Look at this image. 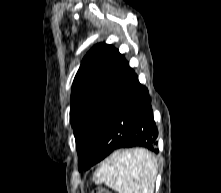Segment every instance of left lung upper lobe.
I'll return each mask as SVG.
<instances>
[{
  "mask_svg": "<svg viewBox=\"0 0 221 193\" xmlns=\"http://www.w3.org/2000/svg\"><path fill=\"white\" fill-rule=\"evenodd\" d=\"M129 64L113 46L95 45L84 57L75 76L70 102V122L83 170L107 132L118 90Z\"/></svg>",
  "mask_w": 221,
  "mask_h": 193,
  "instance_id": "1",
  "label": "left lung upper lobe"
}]
</instances>
